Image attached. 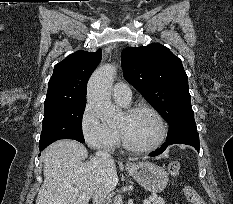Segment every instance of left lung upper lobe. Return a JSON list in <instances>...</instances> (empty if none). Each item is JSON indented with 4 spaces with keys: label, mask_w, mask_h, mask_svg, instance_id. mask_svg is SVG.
I'll list each match as a JSON object with an SVG mask.
<instances>
[{
    "label": "left lung upper lobe",
    "mask_w": 233,
    "mask_h": 204,
    "mask_svg": "<svg viewBox=\"0 0 233 204\" xmlns=\"http://www.w3.org/2000/svg\"><path fill=\"white\" fill-rule=\"evenodd\" d=\"M124 78L139 90L169 124L166 141L196 132L188 77L181 60L167 47L152 43L122 52Z\"/></svg>",
    "instance_id": "left-lung-upper-lobe-1"
}]
</instances>
